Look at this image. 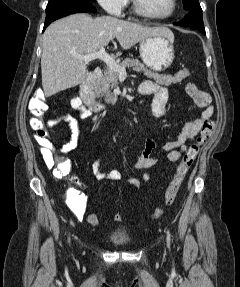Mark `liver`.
<instances>
[{
    "label": "liver",
    "mask_w": 240,
    "mask_h": 287,
    "mask_svg": "<svg viewBox=\"0 0 240 287\" xmlns=\"http://www.w3.org/2000/svg\"><path fill=\"white\" fill-rule=\"evenodd\" d=\"M156 35L173 33L167 27H149L112 16L93 19L79 13L55 21L43 34L41 72L45 96L75 87L86 79L87 63L75 55L96 52L114 38L126 50Z\"/></svg>",
    "instance_id": "liver-1"
}]
</instances>
